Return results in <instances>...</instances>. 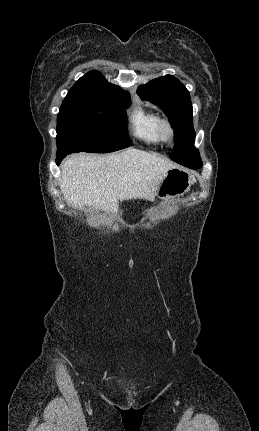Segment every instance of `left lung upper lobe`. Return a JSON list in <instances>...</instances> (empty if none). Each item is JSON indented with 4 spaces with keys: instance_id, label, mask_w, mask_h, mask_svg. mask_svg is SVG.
<instances>
[{
    "instance_id": "1",
    "label": "left lung upper lobe",
    "mask_w": 259,
    "mask_h": 431,
    "mask_svg": "<svg viewBox=\"0 0 259 431\" xmlns=\"http://www.w3.org/2000/svg\"><path fill=\"white\" fill-rule=\"evenodd\" d=\"M138 95L160 106L174 129V152L169 156L175 162L194 168L202 163L194 147L193 108L189 92L174 76L166 75L139 86Z\"/></svg>"
}]
</instances>
